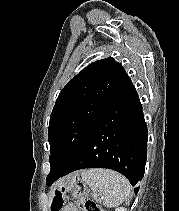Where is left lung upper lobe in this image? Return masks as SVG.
Listing matches in <instances>:
<instances>
[{
    "instance_id": "1",
    "label": "left lung upper lobe",
    "mask_w": 179,
    "mask_h": 211,
    "mask_svg": "<svg viewBox=\"0 0 179 211\" xmlns=\"http://www.w3.org/2000/svg\"><path fill=\"white\" fill-rule=\"evenodd\" d=\"M129 76L113 58L95 61L61 90L48 129L50 180L61 174L84 147L91 130Z\"/></svg>"
}]
</instances>
